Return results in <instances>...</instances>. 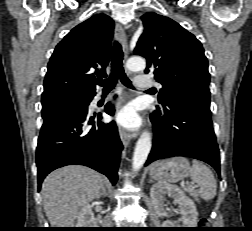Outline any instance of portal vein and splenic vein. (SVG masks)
Segmentation results:
<instances>
[{"instance_id":"1","label":"portal vein and splenic vein","mask_w":252,"mask_h":231,"mask_svg":"<svg viewBox=\"0 0 252 231\" xmlns=\"http://www.w3.org/2000/svg\"><path fill=\"white\" fill-rule=\"evenodd\" d=\"M198 187L197 185H191L190 187H186V189H190V188H196Z\"/></svg>"}]
</instances>
